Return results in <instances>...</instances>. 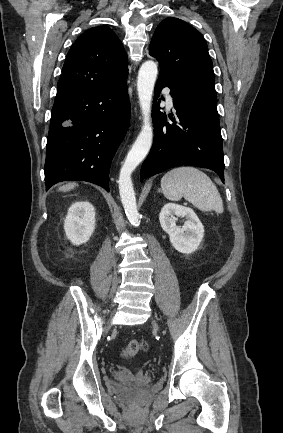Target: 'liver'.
Masks as SVG:
<instances>
[{
	"label": "liver",
	"mask_w": 283,
	"mask_h": 433,
	"mask_svg": "<svg viewBox=\"0 0 283 433\" xmlns=\"http://www.w3.org/2000/svg\"><path fill=\"white\" fill-rule=\"evenodd\" d=\"M74 186H77L76 182H68V184H63V186H60L59 190H71V188H74Z\"/></svg>",
	"instance_id": "1"
}]
</instances>
